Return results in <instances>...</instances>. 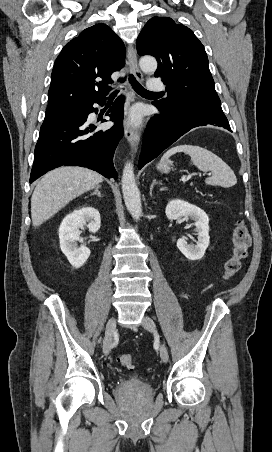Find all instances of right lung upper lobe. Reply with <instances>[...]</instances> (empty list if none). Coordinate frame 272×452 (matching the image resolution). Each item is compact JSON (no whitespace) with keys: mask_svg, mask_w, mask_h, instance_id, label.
<instances>
[{"mask_svg":"<svg viewBox=\"0 0 272 452\" xmlns=\"http://www.w3.org/2000/svg\"><path fill=\"white\" fill-rule=\"evenodd\" d=\"M124 63L125 46L110 27L100 23L83 30L55 61L46 114L71 112L105 98L111 74Z\"/></svg>","mask_w":272,"mask_h":452,"instance_id":"cb5924a9","label":"right lung upper lobe"}]
</instances>
